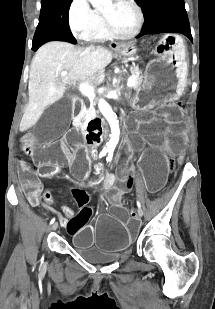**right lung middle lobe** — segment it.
<instances>
[{"mask_svg":"<svg viewBox=\"0 0 215 309\" xmlns=\"http://www.w3.org/2000/svg\"><path fill=\"white\" fill-rule=\"evenodd\" d=\"M71 2L72 0H41L40 19L33 38V50L51 40L77 43L68 23Z\"/></svg>","mask_w":215,"mask_h":309,"instance_id":"obj_1","label":"right lung middle lobe"}]
</instances>
